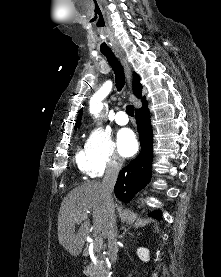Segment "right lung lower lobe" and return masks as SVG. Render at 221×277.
Returning a JSON list of instances; mask_svg holds the SVG:
<instances>
[{"instance_id":"98d812e1","label":"right lung lower lobe","mask_w":221,"mask_h":277,"mask_svg":"<svg viewBox=\"0 0 221 277\" xmlns=\"http://www.w3.org/2000/svg\"><path fill=\"white\" fill-rule=\"evenodd\" d=\"M147 105L148 102L145 100L142 102V107L135 111L141 152L120 171L114 187L116 197L124 202H128L151 179L153 136L150 112ZM150 215L157 219L161 217L159 211H153Z\"/></svg>"}]
</instances>
